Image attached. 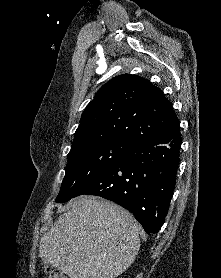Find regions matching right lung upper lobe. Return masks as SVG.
I'll return each mask as SVG.
<instances>
[{
  "label": "right lung upper lobe",
  "instance_id": "right-lung-upper-lobe-1",
  "mask_svg": "<svg viewBox=\"0 0 221 278\" xmlns=\"http://www.w3.org/2000/svg\"><path fill=\"white\" fill-rule=\"evenodd\" d=\"M178 126V118L159 88L142 77L123 74L103 85L87 105L71 149L92 140L133 143Z\"/></svg>",
  "mask_w": 221,
  "mask_h": 278
}]
</instances>
